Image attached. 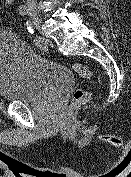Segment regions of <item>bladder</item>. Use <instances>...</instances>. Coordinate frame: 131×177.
Instances as JSON below:
<instances>
[{
  "label": "bladder",
  "instance_id": "obj_1",
  "mask_svg": "<svg viewBox=\"0 0 131 177\" xmlns=\"http://www.w3.org/2000/svg\"><path fill=\"white\" fill-rule=\"evenodd\" d=\"M72 72L25 46L13 31H0V98L31 103L72 86Z\"/></svg>",
  "mask_w": 131,
  "mask_h": 177
}]
</instances>
